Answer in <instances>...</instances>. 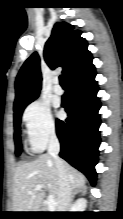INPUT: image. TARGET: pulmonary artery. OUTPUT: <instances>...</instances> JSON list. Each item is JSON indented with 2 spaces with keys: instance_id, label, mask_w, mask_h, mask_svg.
Returning <instances> with one entry per match:
<instances>
[{
  "instance_id": "obj_1",
  "label": "pulmonary artery",
  "mask_w": 123,
  "mask_h": 219,
  "mask_svg": "<svg viewBox=\"0 0 123 219\" xmlns=\"http://www.w3.org/2000/svg\"><path fill=\"white\" fill-rule=\"evenodd\" d=\"M53 92L57 95H61L63 93L62 87L59 85L58 81L55 82V85L53 86Z\"/></svg>"
}]
</instances>
